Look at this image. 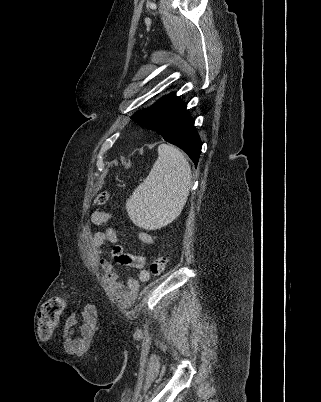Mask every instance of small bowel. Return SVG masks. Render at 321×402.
<instances>
[{
	"label": "small bowel",
	"mask_w": 321,
	"mask_h": 402,
	"mask_svg": "<svg viewBox=\"0 0 321 402\" xmlns=\"http://www.w3.org/2000/svg\"><path fill=\"white\" fill-rule=\"evenodd\" d=\"M91 223L96 227L107 225L111 220V215L106 211L97 210L91 214ZM138 238L145 244H152L153 238L148 233L141 231L138 233ZM118 232L113 227H107L105 230L96 232L92 239L93 247L98 255L101 254L102 248L106 243L113 244L110 252V257L116 263L125 265L138 270L137 277L122 280L114 264L105 258H101L102 269L108 278L110 285L115 293L117 301L125 308L130 307L135 301L140 285L150 280V274L146 269L147 259L141 254H131L124 252L121 245L118 244ZM82 310H79L82 321L78 327L80 338H73L70 335V329H76L78 323L77 315H67L63 322V327L67 333L65 346L73 358H82L83 353L87 352V347L90 346V338L93 329L98 327V322L95 320L96 313L92 302H83Z\"/></svg>",
	"instance_id": "c3829d8e"
}]
</instances>
